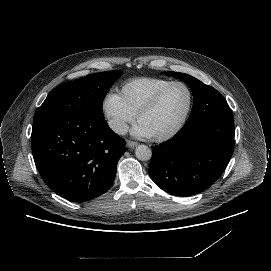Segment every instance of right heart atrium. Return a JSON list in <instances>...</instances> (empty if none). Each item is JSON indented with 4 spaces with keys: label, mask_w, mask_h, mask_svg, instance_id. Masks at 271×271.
<instances>
[{
    "label": "right heart atrium",
    "mask_w": 271,
    "mask_h": 271,
    "mask_svg": "<svg viewBox=\"0 0 271 271\" xmlns=\"http://www.w3.org/2000/svg\"><path fill=\"white\" fill-rule=\"evenodd\" d=\"M101 110L109 127L119 135L125 134L129 124L135 119V116L123 104L120 95L111 90L105 93Z\"/></svg>",
    "instance_id": "obj_1"
}]
</instances>
